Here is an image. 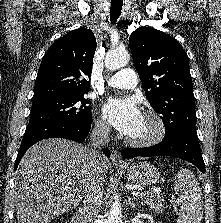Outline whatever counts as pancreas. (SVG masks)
<instances>
[{"label": "pancreas", "instance_id": "obj_1", "mask_svg": "<svg viewBox=\"0 0 221 223\" xmlns=\"http://www.w3.org/2000/svg\"><path fill=\"white\" fill-rule=\"evenodd\" d=\"M144 204H147L152 210H154L157 214H160L164 211L163 203L164 198L162 195H157L152 193L147 197H141Z\"/></svg>", "mask_w": 221, "mask_h": 223}]
</instances>
